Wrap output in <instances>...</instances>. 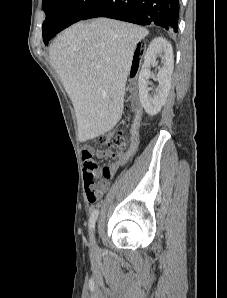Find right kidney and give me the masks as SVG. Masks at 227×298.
<instances>
[{
	"instance_id": "right-kidney-1",
	"label": "right kidney",
	"mask_w": 227,
	"mask_h": 298,
	"mask_svg": "<svg viewBox=\"0 0 227 298\" xmlns=\"http://www.w3.org/2000/svg\"><path fill=\"white\" fill-rule=\"evenodd\" d=\"M157 59H160L161 63L156 76L158 86L151 96L149 94L148 82L150 77L153 76L151 66L157 65ZM173 66L174 56L171 44L162 37L155 38L145 53L144 63L138 80L139 99L145 112L150 116L156 115L161 110L168 97Z\"/></svg>"
}]
</instances>
